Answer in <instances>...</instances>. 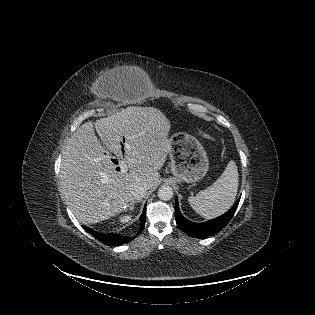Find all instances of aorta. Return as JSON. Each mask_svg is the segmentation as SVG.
<instances>
[{
  "instance_id": "aorta-1",
  "label": "aorta",
  "mask_w": 315,
  "mask_h": 315,
  "mask_svg": "<svg viewBox=\"0 0 315 315\" xmlns=\"http://www.w3.org/2000/svg\"><path fill=\"white\" fill-rule=\"evenodd\" d=\"M158 197L163 201H168L173 197V189L170 186L163 185L158 189Z\"/></svg>"
}]
</instances>
